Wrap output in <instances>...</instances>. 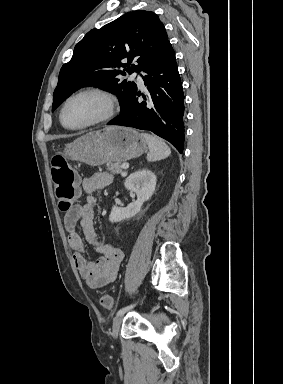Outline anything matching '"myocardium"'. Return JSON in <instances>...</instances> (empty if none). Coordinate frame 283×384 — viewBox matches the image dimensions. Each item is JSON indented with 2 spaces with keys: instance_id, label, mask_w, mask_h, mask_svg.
I'll return each mask as SVG.
<instances>
[{
  "instance_id": "f54148a6",
  "label": "myocardium",
  "mask_w": 283,
  "mask_h": 384,
  "mask_svg": "<svg viewBox=\"0 0 283 384\" xmlns=\"http://www.w3.org/2000/svg\"><path fill=\"white\" fill-rule=\"evenodd\" d=\"M83 95H92L98 98L103 104V109L101 113L90 122L80 126H76V127H69L64 123L63 115H64L65 108L72 99L79 96H83ZM115 110H116L115 99L110 92L98 87H88L72 93L65 99L60 110L59 118H60L61 125L65 129L71 130V131H80V130H85L90 127L109 121L115 115Z\"/></svg>"
}]
</instances>
